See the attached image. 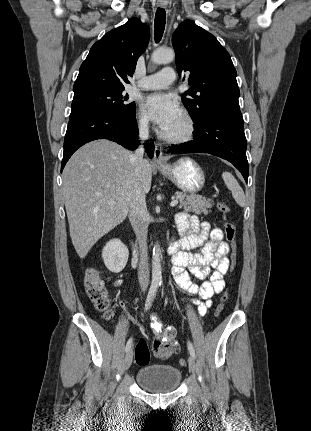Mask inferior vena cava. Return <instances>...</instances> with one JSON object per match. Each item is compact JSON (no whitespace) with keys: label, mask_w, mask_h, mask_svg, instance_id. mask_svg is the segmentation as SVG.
I'll return each mask as SVG.
<instances>
[{"label":"inferior vena cava","mask_w":311,"mask_h":431,"mask_svg":"<svg viewBox=\"0 0 311 431\" xmlns=\"http://www.w3.org/2000/svg\"><path fill=\"white\" fill-rule=\"evenodd\" d=\"M139 144L137 150L132 154V160L136 164L134 192L132 194V202L130 204L128 217L132 223V227L136 233L140 247V261L138 269V279L141 285L140 293H145V287L149 283V265H148V245H147V231L149 225L148 212L145 200V192L142 180V164L145 152V142L149 136V126L147 120L139 122Z\"/></svg>","instance_id":"obj_1"}]
</instances>
